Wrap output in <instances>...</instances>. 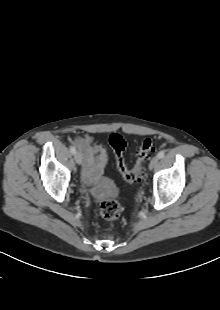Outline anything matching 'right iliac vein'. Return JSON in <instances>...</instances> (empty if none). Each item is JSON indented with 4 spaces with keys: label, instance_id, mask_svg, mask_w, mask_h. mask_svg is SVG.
I'll return each mask as SVG.
<instances>
[{
    "label": "right iliac vein",
    "instance_id": "1",
    "mask_svg": "<svg viewBox=\"0 0 220 310\" xmlns=\"http://www.w3.org/2000/svg\"><path fill=\"white\" fill-rule=\"evenodd\" d=\"M74 158L78 165L83 163V155L80 152H76Z\"/></svg>",
    "mask_w": 220,
    "mask_h": 310
}]
</instances>
